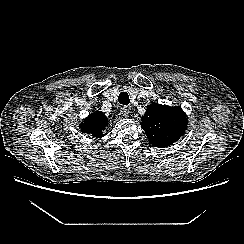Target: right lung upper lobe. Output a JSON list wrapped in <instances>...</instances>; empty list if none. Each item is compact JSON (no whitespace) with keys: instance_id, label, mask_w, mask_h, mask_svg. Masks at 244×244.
I'll return each instance as SVG.
<instances>
[{"instance_id":"cb5924a9","label":"right lung upper lobe","mask_w":244,"mask_h":244,"mask_svg":"<svg viewBox=\"0 0 244 244\" xmlns=\"http://www.w3.org/2000/svg\"><path fill=\"white\" fill-rule=\"evenodd\" d=\"M107 126V117L102 112H95L90 114L79 127L83 133H88L93 137L101 138L106 135V133L103 134V131Z\"/></svg>"}]
</instances>
